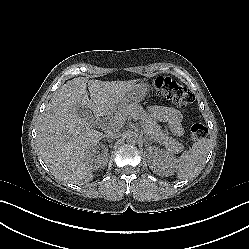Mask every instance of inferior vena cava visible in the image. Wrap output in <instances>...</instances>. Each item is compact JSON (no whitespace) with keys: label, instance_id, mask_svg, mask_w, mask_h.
I'll return each mask as SVG.
<instances>
[{"label":"inferior vena cava","instance_id":"1","mask_svg":"<svg viewBox=\"0 0 249 249\" xmlns=\"http://www.w3.org/2000/svg\"><path fill=\"white\" fill-rule=\"evenodd\" d=\"M118 127L116 126H109L106 130V134L103 135L105 138L115 139L117 137Z\"/></svg>","mask_w":249,"mask_h":249}]
</instances>
